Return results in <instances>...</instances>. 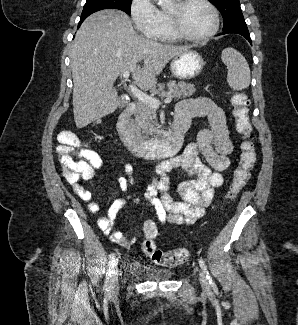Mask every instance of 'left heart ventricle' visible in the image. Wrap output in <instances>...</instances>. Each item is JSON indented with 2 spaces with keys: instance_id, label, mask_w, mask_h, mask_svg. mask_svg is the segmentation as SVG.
I'll list each match as a JSON object with an SVG mask.
<instances>
[{
  "instance_id": "obj_1",
  "label": "left heart ventricle",
  "mask_w": 298,
  "mask_h": 325,
  "mask_svg": "<svg viewBox=\"0 0 298 325\" xmlns=\"http://www.w3.org/2000/svg\"><path fill=\"white\" fill-rule=\"evenodd\" d=\"M181 30L191 37L207 34L212 28V18L208 10L201 4L190 2L178 11Z\"/></svg>"
}]
</instances>
